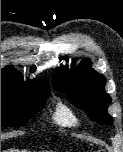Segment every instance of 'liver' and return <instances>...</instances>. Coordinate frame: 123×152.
<instances>
[{
  "label": "liver",
  "mask_w": 123,
  "mask_h": 152,
  "mask_svg": "<svg viewBox=\"0 0 123 152\" xmlns=\"http://www.w3.org/2000/svg\"><path fill=\"white\" fill-rule=\"evenodd\" d=\"M10 152H12V151H10ZM13 152H19V151H13ZM23 152H25V151H23Z\"/></svg>",
  "instance_id": "liver-1"
}]
</instances>
